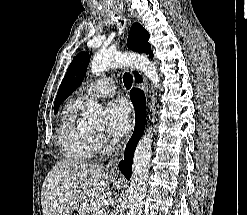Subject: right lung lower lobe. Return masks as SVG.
Instances as JSON below:
<instances>
[{
  "label": "right lung lower lobe",
  "instance_id": "obj_1",
  "mask_svg": "<svg viewBox=\"0 0 247 215\" xmlns=\"http://www.w3.org/2000/svg\"><path fill=\"white\" fill-rule=\"evenodd\" d=\"M130 98L136 111V124L133 136L130 138L126 146L124 160L119 163L120 171L128 180L130 179L131 175L134 151L144 132L146 121V101L144 93L138 88H133L130 91Z\"/></svg>",
  "mask_w": 247,
  "mask_h": 215
}]
</instances>
